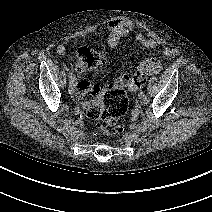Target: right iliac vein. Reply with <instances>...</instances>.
<instances>
[{"mask_svg":"<svg viewBox=\"0 0 212 212\" xmlns=\"http://www.w3.org/2000/svg\"><path fill=\"white\" fill-rule=\"evenodd\" d=\"M68 92L70 94H74L75 93V85H74L73 82L69 83Z\"/></svg>","mask_w":212,"mask_h":212,"instance_id":"63e3f726","label":"right iliac vein"}]
</instances>
